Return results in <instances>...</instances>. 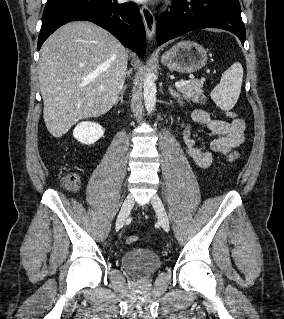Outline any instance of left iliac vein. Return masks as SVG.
I'll list each match as a JSON object with an SVG mask.
<instances>
[{"instance_id":"obj_1","label":"left iliac vein","mask_w":284,"mask_h":319,"mask_svg":"<svg viewBox=\"0 0 284 319\" xmlns=\"http://www.w3.org/2000/svg\"><path fill=\"white\" fill-rule=\"evenodd\" d=\"M151 204L157 213V216H158V219H159V222H160L162 228L166 232H168L169 228H170L169 218H168L167 212L165 210V207L163 205V202L157 194H154L152 196Z\"/></svg>"}]
</instances>
